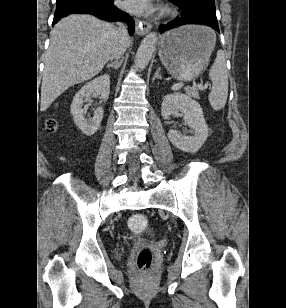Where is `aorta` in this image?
<instances>
[{
    "label": "aorta",
    "instance_id": "762f6f07",
    "mask_svg": "<svg viewBox=\"0 0 286 308\" xmlns=\"http://www.w3.org/2000/svg\"><path fill=\"white\" fill-rule=\"evenodd\" d=\"M157 44V32H150L146 37L142 40L136 56H135V68L137 70H143L149 64L152 55L156 50Z\"/></svg>",
    "mask_w": 286,
    "mask_h": 308
}]
</instances>
